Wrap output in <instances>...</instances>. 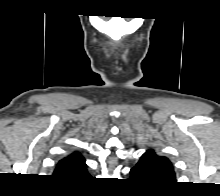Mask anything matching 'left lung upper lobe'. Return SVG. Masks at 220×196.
<instances>
[{
    "label": "left lung upper lobe",
    "mask_w": 220,
    "mask_h": 196,
    "mask_svg": "<svg viewBox=\"0 0 220 196\" xmlns=\"http://www.w3.org/2000/svg\"><path fill=\"white\" fill-rule=\"evenodd\" d=\"M143 162L160 184L175 183V172L171 161L158 155L153 149L147 150L139 160Z\"/></svg>",
    "instance_id": "left-lung-upper-lobe-1"
}]
</instances>
